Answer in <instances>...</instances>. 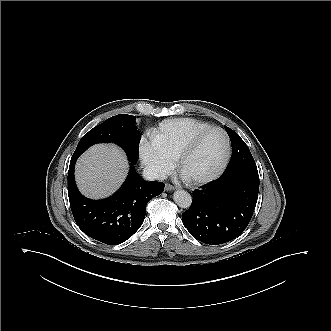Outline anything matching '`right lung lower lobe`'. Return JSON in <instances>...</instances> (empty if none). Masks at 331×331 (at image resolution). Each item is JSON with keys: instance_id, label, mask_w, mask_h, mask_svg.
Instances as JSON below:
<instances>
[{"instance_id": "right-lung-lower-lobe-1", "label": "right lung lower lobe", "mask_w": 331, "mask_h": 331, "mask_svg": "<svg viewBox=\"0 0 331 331\" xmlns=\"http://www.w3.org/2000/svg\"><path fill=\"white\" fill-rule=\"evenodd\" d=\"M78 156H72L68 171V196L74 219L89 237L108 245L129 239L141 226L146 204L164 190L162 182H147L130 163L129 175L122 187L111 197L91 200L77 189L74 167Z\"/></svg>"}]
</instances>
